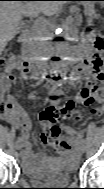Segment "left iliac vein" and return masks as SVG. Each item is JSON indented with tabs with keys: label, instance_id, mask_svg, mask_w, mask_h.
I'll return each mask as SVG.
<instances>
[{
	"label": "left iliac vein",
	"instance_id": "4c4485c4",
	"mask_svg": "<svg viewBox=\"0 0 104 189\" xmlns=\"http://www.w3.org/2000/svg\"><path fill=\"white\" fill-rule=\"evenodd\" d=\"M79 151H80V153H84L86 151L85 146L82 145L80 147Z\"/></svg>",
	"mask_w": 104,
	"mask_h": 189
}]
</instances>
